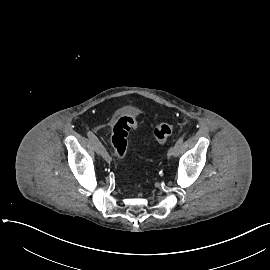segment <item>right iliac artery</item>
Instances as JSON below:
<instances>
[{"mask_svg": "<svg viewBox=\"0 0 270 270\" xmlns=\"http://www.w3.org/2000/svg\"><path fill=\"white\" fill-rule=\"evenodd\" d=\"M87 136H88V138H89L91 141L95 142V143L98 145L102 157H103L107 162H110V161H111V157L109 156L108 152L106 151V149L104 148V146L101 144V142L97 139V137H96L91 131H88V132H87Z\"/></svg>", "mask_w": 270, "mask_h": 270, "instance_id": "82829eb1", "label": "right iliac artery"}]
</instances>
